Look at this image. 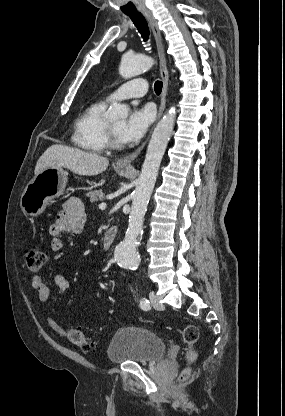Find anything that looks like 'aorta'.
<instances>
[{"label": "aorta", "mask_w": 285, "mask_h": 416, "mask_svg": "<svg viewBox=\"0 0 285 416\" xmlns=\"http://www.w3.org/2000/svg\"><path fill=\"white\" fill-rule=\"evenodd\" d=\"M154 61L145 55H125L122 57L119 73L123 78H132L149 70ZM175 109L171 108L158 122L148 144L141 174L132 195L131 213L125 238L115 248V259L120 267L137 270L140 256L137 245L143 229L144 215L153 192L159 167L165 153L175 121ZM111 121L124 120L128 116V107L111 104L107 114Z\"/></svg>", "instance_id": "aorta-1"}]
</instances>
